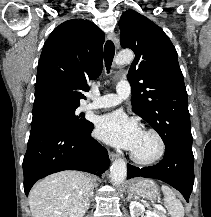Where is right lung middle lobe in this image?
I'll return each mask as SVG.
<instances>
[{
    "label": "right lung middle lobe",
    "mask_w": 211,
    "mask_h": 217,
    "mask_svg": "<svg viewBox=\"0 0 211 217\" xmlns=\"http://www.w3.org/2000/svg\"><path fill=\"white\" fill-rule=\"evenodd\" d=\"M76 109L50 112L32 119L31 129L56 127L64 131L79 135L89 128L90 122L77 115Z\"/></svg>",
    "instance_id": "obj_1"
}]
</instances>
